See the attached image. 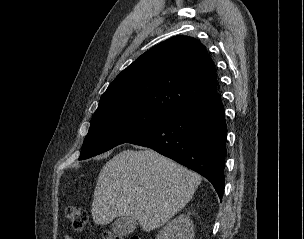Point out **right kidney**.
<instances>
[{"label":"right kidney","instance_id":"right-kidney-1","mask_svg":"<svg viewBox=\"0 0 304 239\" xmlns=\"http://www.w3.org/2000/svg\"><path fill=\"white\" fill-rule=\"evenodd\" d=\"M156 239H194V224L189 215L182 214L168 222Z\"/></svg>","mask_w":304,"mask_h":239}]
</instances>
